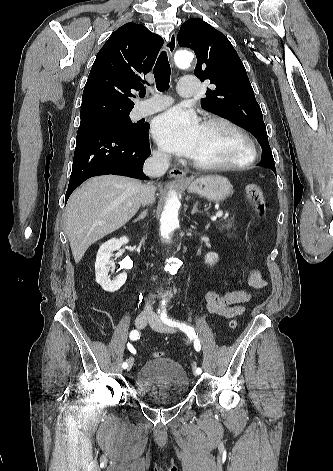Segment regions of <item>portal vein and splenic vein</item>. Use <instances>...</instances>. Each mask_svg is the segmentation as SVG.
<instances>
[{
    "mask_svg": "<svg viewBox=\"0 0 333 471\" xmlns=\"http://www.w3.org/2000/svg\"><path fill=\"white\" fill-rule=\"evenodd\" d=\"M223 216V212L222 211H219L216 213L215 217H212L211 220H215L217 217H222Z\"/></svg>",
    "mask_w": 333,
    "mask_h": 471,
    "instance_id": "portal-vein-and-splenic-vein-1",
    "label": "portal vein and splenic vein"
}]
</instances>
